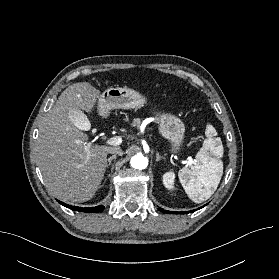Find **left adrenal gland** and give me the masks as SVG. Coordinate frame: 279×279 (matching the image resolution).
<instances>
[{
	"instance_id": "a2214340",
	"label": "left adrenal gland",
	"mask_w": 279,
	"mask_h": 279,
	"mask_svg": "<svg viewBox=\"0 0 279 279\" xmlns=\"http://www.w3.org/2000/svg\"><path fill=\"white\" fill-rule=\"evenodd\" d=\"M161 159H165L163 156H160L158 152H156V162L160 161Z\"/></svg>"
}]
</instances>
